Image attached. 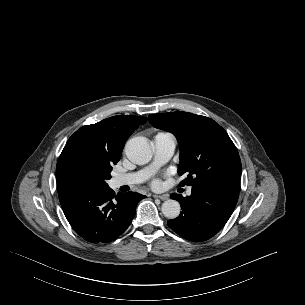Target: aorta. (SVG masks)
Listing matches in <instances>:
<instances>
[{"label":"aorta","instance_id":"1","mask_svg":"<svg viewBox=\"0 0 305 305\" xmlns=\"http://www.w3.org/2000/svg\"><path fill=\"white\" fill-rule=\"evenodd\" d=\"M125 153L131 162L143 165L151 160L153 151L147 141L140 138H132L125 145ZM180 211V204L176 200L168 199L162 204V213L168 219L177 218Z\"/></svg>","mask_w":305,"mask_h":305}]
</instances>
